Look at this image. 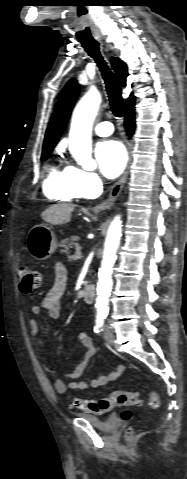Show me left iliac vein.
<instances>
[{
  "label": "left iliac vein",
  "instance_id": "4c4485c4",
  "mask_svg": "<svg viewBox=\"0 0 187 479\" xmlns=\"http://www.w3.org/2000/svg\"><path fill=\"white\" fill-rule=\"evenodd\" d=\"M103 335H104V339L107 342V344L112 345L113 342H114V335H113L112 328L110 327L109 324H105Z\"/></svg>",
  "mask_w": 187,
  "mask_h": 479
}]
</instances>
